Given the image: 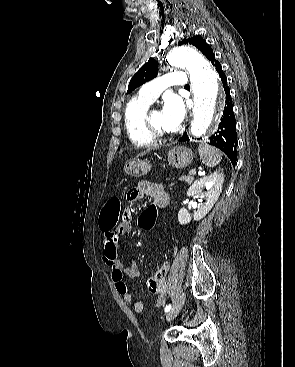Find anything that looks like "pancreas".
Listing matches in <instances>:
<instances>
[{
    "instance_id": "pancreas-1",
    "label": "pancreas",
    "mask_w": 295,
    "mask_h": 367,
    "mask_svg": "<svg viewBox=\"0 0 295 367\" xmlns=\"http://www.w3.org/2000/svg\"><path fill=\"white\" fill-rule=\"evenodd\" d=\"M193 176L192 175H188V176H182L181 178H179V180L181 181H185L186 183L190 184L193 181Z\"/></svg>"
}]
</instances>
